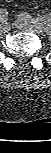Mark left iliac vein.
<instances>
[{
	"label": "left iliac vein",
	"mask_w": 51,
	"mask_h": 153,
	"mask_svg": "<svg viewBox=\"0 0 51 153\" xmlns=\"http://www.w3.org/2000/svg\"><path fill=\"white\" fill-rule=\"evenodd\" d=\"M15 25L19 29H30L36 32H44L47 30L46 26L40 22H31L30 20H26L24 16L21 14L18 15L17 20L15 21Z\"/></svg>",
	"instance_id": "1"
}]
</instances>
